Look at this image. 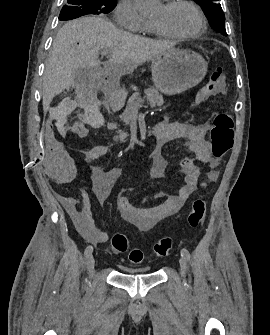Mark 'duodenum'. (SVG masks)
<instances>
[{"instance_id": "duodenum-1", "label": "duodenum", "mask_w": 270, "mask_h": 335, "mask_svg": "<svg viewBox=\"0 0 270 335\" xmlns=\"http://www.w3.org/2000/svg\"><path fill=\"white\" fill-rule=\"evenodd\" d=\"M106 96L105 107L112 112L120 110L124 103V94L120 87L112 80H106L103 85ZM155 134V128L153 129Z\"/></svg>"}]
</instances>
